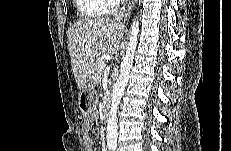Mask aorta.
Wrapping results in <instances>:
<instances>
[{"mask_svg":"<svg viewBox=\"0 0 231 151\" xmlns=\"http://www.w3.org/2000/svg\"><path fill=\"white\" fill-rule=\"evenodd\" d=\"M138 33L139 21L136 18L131 24L129 45L126 50V54L120 64V74L112 93V102L107 125V142L109 145H115L117 143V111L122 94L128 83L131 68L133 66L134 54L138 43Z\"/></svg>","mask_w":231,"mask_h":151,"instance_id":"762f6f07","label":"aorta"}]
</instances>
